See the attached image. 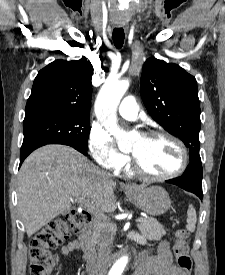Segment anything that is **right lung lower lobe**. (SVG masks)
Here are the masks:
<instances>
[{
	"mask_svg": "<svg viewBox=\"0 0 225 275\" xmlns=\"http://www.w3.org/2000/svg\"><path fill=\"white\" fill-rule=\"evenodd\" d=\"M46 144H65V145H69L66 143H60V142H49V141H32V142H28V143H23L22 147H21V152H20V165L22 164V162L25 160V158L35 149H37L38 147H41L43 145ZM73 148H75L76 150H78L79 152H81L84 155H87V151L86 150H82L80 148L74 147L72 145H69Z\"/></svg>",
	"mask_w": 225,
	"mask_h": 275,
	"instance_id": "obj_1",
	"label": "right lung lower lobe"
}]
</instances>
